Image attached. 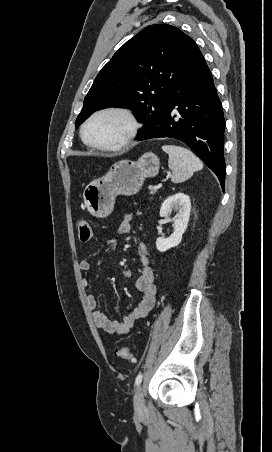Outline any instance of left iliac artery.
I'll use <instances>...</instances> for the list:
<instances>
[{
	"mask_svg": "<svg viewBox=\"0 0 272 452\" xmlns=\"http://www.w3.org/2000/svg\"><path fill=\"white\" fill-rule=\"evenodd\" d=\"M142 381V373H139L135 379V384L139 385Z\"/></svg>",
	"mask_w": 272,
	"mask_h": 452,
	"instance_id": "obj_1",
	"label": "left iliac artery"
}]
</instances>
